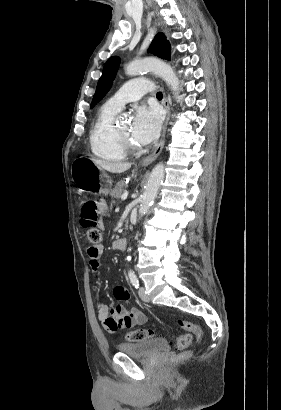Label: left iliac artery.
<instances>
[{
  "mask_svg": "<svg viewBox=\"0 0 281 410\" xmlns=\"http://www.w3.org/2000/svg\"><path fill=\"white\" fill-rule=\"evenodd\" d=\"M129 278H130V281H131L132 285H133L136 289H138V288H139V281H138V278H137V276L135 275V273L130 272V273H129Z\"/></svg>",
  "mask_w": 281,
  "mask_h": 410,
  "instance_id": "obj_1",
  "label": "left iliac artery"
}]
</instances>
